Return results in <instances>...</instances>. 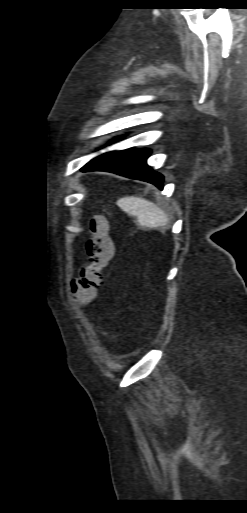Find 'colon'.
Wrapping results in <instances>:
<instances>
[{
  "mask_svg": "<svg viewBox=\"0 0 247 513\" xmlns=\"http://www.w3.org/2000/svg\"><path fill=\"white\" fill-rule=\"evenodd\" d=\"M89 238L86 242L88 262L81 265L70 283L72 295L87 301L96 295L103 284V269L113 256V244L108 224L104 220L91 219L88 223Z\"/></svg>",
  "mask_w": 247,
  "mask_h": 513,
  "instance_id": "1",
  "label": "colon"
}]
</instances>
